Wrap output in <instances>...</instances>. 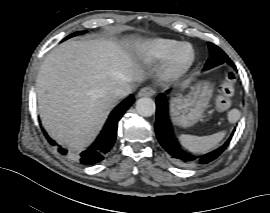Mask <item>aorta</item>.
<instances>
[{"label":"aorta","instance_id":"762f6f07","mask_svg":"<svg viewBox=\"0 0 270 213\" xmlns=\"http://www.w3.org/2000/svg\"><path fill=\"white\" fill-rule=\"evenodd\" d=\"M156 105L154 100L148 97H143L137 100V113L144 117H149L155 113Z\"/></svg>","mask_w":270,"mask_h":213}]
</instances>
